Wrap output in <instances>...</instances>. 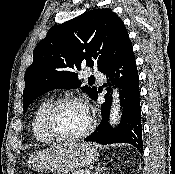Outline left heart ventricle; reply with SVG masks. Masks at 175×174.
<instances>
[{
	"label": "left heart ventricle",
	"instance_id": "obj_1",
	"mask_svg": "<svg viewBox=\"0 0 175 174\" xmlns=\"http://www.w3.org/2000/svg\"><path fill=\"white\" fill-rule=\"evenodd\" d=\"M88 122L89 117L86 109L75 103L62 106L54 118L56 131L65 136L81 133L88 126Z\"/></svg>",
	"mask_w": 175,
	"mask_h": 174
}]
</instances>
